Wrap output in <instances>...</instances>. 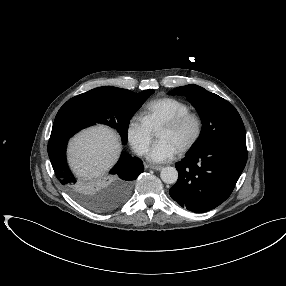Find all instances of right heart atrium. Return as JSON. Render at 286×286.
I'll use <instances>...</instances> for the list:
<instances>
[{"label": "right heart atrium", "mask_w": 286, "mask_h": 286, "mask_svg": "<svg viewBox=\"0 0 286 286\" xmlns=\"http://www.w3.org/2000/svg\"><path fill=\"white\" fill-rule=\"evenodd\" d=\"M153 129L142 115L131 117L126 128V137L131 148L139 156H144L151 145Z\"/></svg>", "instance_id": "right-heart-atrium-1"}]
</instances>
